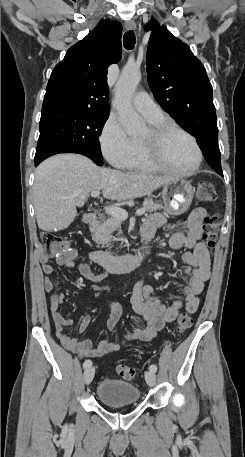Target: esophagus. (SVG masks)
<instances>
[{
  "label": "esophagus",
  "mask_w": 245,
  "mask_h": 457,
  "mask_svg": "<svg viewBox=\"0 0 245 457\" xmlns=\"http://www.w3.org/2000/svg\"><path fill=\"white\" fill-rule=\"evenodd\" d=\"M125 28L127 30H134L136 28V23L134 20H128L125 22Z\"/></svg>",
  "instance_id": "obj_1"
}]
</instances>
